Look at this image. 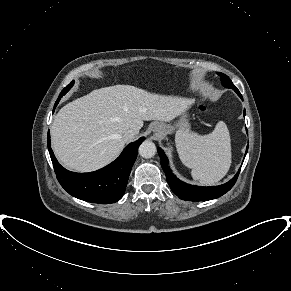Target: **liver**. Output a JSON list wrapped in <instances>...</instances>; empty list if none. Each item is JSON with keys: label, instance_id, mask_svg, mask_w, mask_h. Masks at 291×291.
I'll list each match as a JSON object with an SVG mask.
<instances>
[{"label": "liver", "instance_id": "obj_1", "mask_svg": "<svg viewBox=\"0 0 291 291\" xmlns=\"http://www.w3.org/2000/svg\"><path fill=\"white\" fill-rule=\"evenodd\" d=\"M192 100L149 93L130 85L93 90L60 109L51 127L58 160L68 169L91 172L110 163L122 150V135L137 132L143 121L169 122Z\"/></svg>", "mask_w": 291, "mask_h": 291}]
</instances>
